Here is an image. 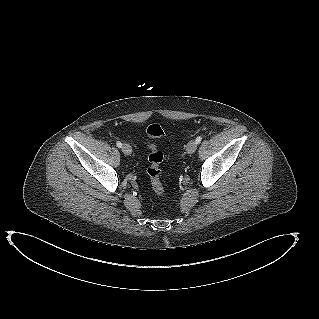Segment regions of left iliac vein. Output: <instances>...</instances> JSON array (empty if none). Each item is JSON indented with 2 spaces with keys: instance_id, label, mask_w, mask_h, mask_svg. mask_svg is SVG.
<instances>
[{
  "instance_id": "left-iliac-vein-1",
  "label": "left iliac vein",
  "mask_w": 319,
  "mask_h": 319,
  "mask_svg": "<svg viewBox=\"0 0 319 319\" xmlns=\"http://www.w3.org/2000/svg\"><path fill=\"white\" fill-rule=\"evenodd\" d=\"M196 149H197L196 141L195 140L189 141L188 144H187V148H186L187 152L189 154H192V153H194L196 151Z\"/></svg>"
}]
</instances>
